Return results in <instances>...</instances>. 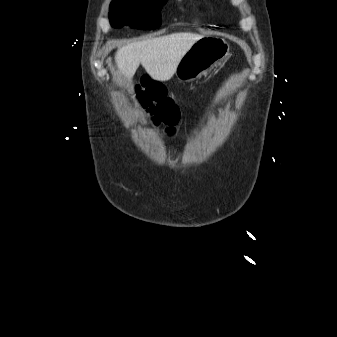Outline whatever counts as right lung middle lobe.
Returning a JSON list of instances; mask_svg holds the SVG:
<instances>
[{"label":"right lung middle lobe","instance_id":"right-lung-middle-lobe-1","mask_svg":"<svg viewBox=\"0 0 337 337\" xmlns=\"http://www.w3.org/2000/svg\"><path fill=\"white\" fill-rule=\"evenodd\" d=\"M167 0H113L110 23L116 28L154 29L161 24L160 10Z\"/></svg>","mask_w":337,"mask_h":337}]
</instances>
